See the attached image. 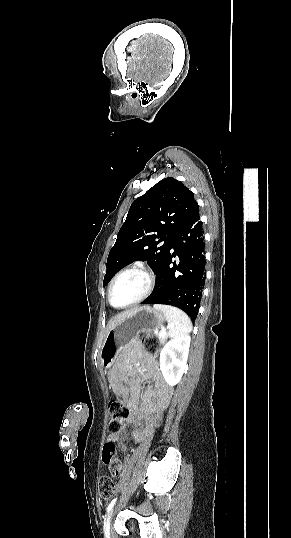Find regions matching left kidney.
<instances>
[{
  "label": "left kidney",
  "mask_w": 291,
  "mask_h": 538,
  "mask_svg": "<svg viewBox=\"0 0 291 538\" xmlns=\"http://www.w3.org/2000/svg\"><path fill=\"white\" fill-rule=\"evenodd\" d=\"M191 337L182 335L171 339L163 347L160 353V370L169 386H174L182 378L184 373Z\"/></svg>",
  "instance_id": "obj_1"
}]
</instances>
